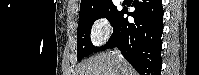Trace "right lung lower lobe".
Segmentation results:
<instances>
[{"label":"right lung lower lobe","mask_w":199,"mask_h":75,"mask_svg":"<svg viewBox=\"0 0 199 75\" xmlns=\"http://www.w3.org/2000/svg\"><path fill=\"white\" fill-rule=\"evenodd\" d=\"M132 6L135 11L128 15L134 18V23L124 18L127 11L122 10L112 36L99 50L117 47L140 75H160L163 32L161 0H134Z\"/></svg>","instance_id":"obj_1"}]
</instances>
